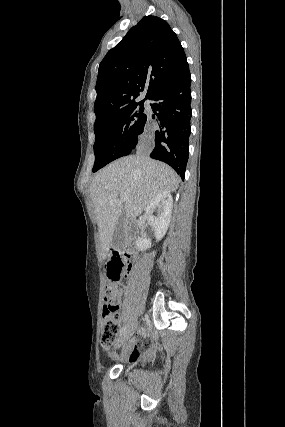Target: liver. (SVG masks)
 Here are the masks:
<instances>
[{
  "label": "liver",
  "instance_id": "obj_1",
  "mask_svg": "<svg viewBox=\"0 0 285 427\" xmlns=\"http://www.w3.org/2000/svg\"><path fill=\"white\" fill-rule=\"evenodd\" d=\"M178 186L179 177L171 167L140 152L120 158L100 170L91 182L89 192L103 257H107L123 212L133 220L154 197L174 192ZM120 194H124L127 201L121 200Z\"/></svg>",
  "mask_w": 285,
  "mask_h": 427
}]
</instances>
